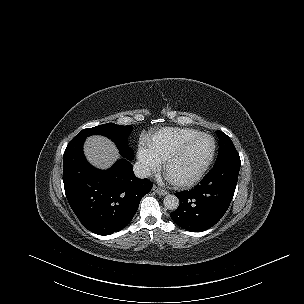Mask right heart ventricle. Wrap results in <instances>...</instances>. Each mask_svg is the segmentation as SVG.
Instances as JSON below:
<instances>
[{
	"label": "right heart ventricle",
	"mask_w": 304,
	"mask_h": 304,
	"mask_svg": "<svg viewBox=\"0 0 304 304\" xmlns=\"http://www.w3.org/2000/svg\"><path fill=\"white\" fill-rule=\"evenodd\" d=\"M200 133V131L192 128H161L151 135L150 146L161 159H165L181 145Z\"/></svg>",
	"instance_id": "1"
}]
</instances>
